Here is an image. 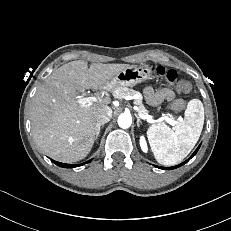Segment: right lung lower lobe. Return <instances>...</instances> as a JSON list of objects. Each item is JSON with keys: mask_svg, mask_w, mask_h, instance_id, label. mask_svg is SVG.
Returning a JSON list of instances; mask_svg holds the SVG:
<instances>
[{"mask_svg": "<svg viewBox=\"0 0 231 231\" xmlns=\"http://www.w3.org/2000/svg\"><path fill=\"white\" fill-rule=\"evenodd\" d=\"M90 161L91 160H89L88 162H90ZM52 162H54L56 165H58L60 167H65V168H74V167H78V166L82 165V164H78V165L66 164V163H61V162H57V161H54V160H52Z\"/></svg>", "mask_w": 231, "mask_h": 231, "instance_id": "obj_1", "label": "right lung lower lobe"}]
</instances>
